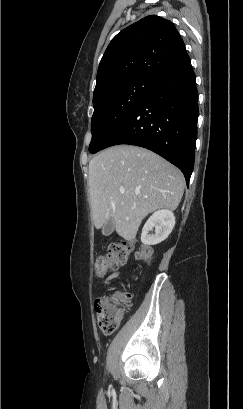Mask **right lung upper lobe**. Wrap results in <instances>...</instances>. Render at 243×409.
Here are the masks:
<instances>
[{
	"mask_svg": "<svg viewBox=\"0 0 243 409\" xmlns=\"http://www.w3.org/2000/svg\"><path fill=\"white\" fill-rule=\"evenodd\" d=\"M186 54L169 20L147 16L119 32L108 45L97 72L93 101L132 79L157 81Z\"/></svg>",
	"mask_w": 243,
	"mask_h": 409,
	"instance_id": "right-lung-upper-lobe-1",
	"label": "right lung upper lobe"
}]
</instances>
